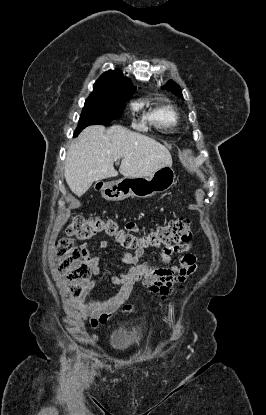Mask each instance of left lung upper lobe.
<instances>
[{
  "mask_svg": "<svg viewBox=\"0 0 266 415\" xmlns=\"http://www.w3.org/2000/svg\"><path fill=\"white\" fill-rule=\"evenodd\" d=\"M162 88L167 89V90L173 92L178 97L183 98L181 88L173 80L168 81L166 83V85L163 86Z\"/></svg>",
  "mask_w": 266,
  "mask_h": 415,
  "instance_id": "left-lung-upper-lobe-1",
  "label": "left lung upper lobe"
}]
</instances>
